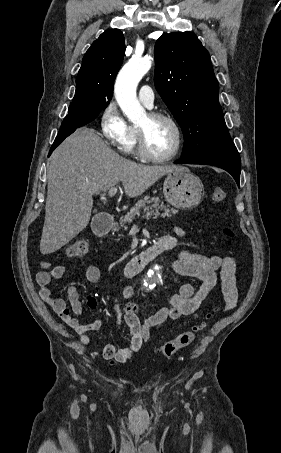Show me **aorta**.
Returning <instances> with one entry per match:
<instances>
[{
  "instance_id": "762f6f07",
  "label": "aorta",
  "mask_w": 281,
  "mask_h": 453,
  "mask_svg": "<svg viewBox=\"0 0 281 453\" xmlns=\"http://www.w3.org/2000/svg\"><path fill=\"white\" fill-rule=\"evenodd\" d=\"M152 59L150 57L132 58L118 73L114 92L115 98L127 118L133 122H140L146 116L145 109L137 99L136 89L142 77L150 70ZM158 283V278L153 271L148 272L142 280L145 291L153 290Z\"/></svg>"
}]
</instances>
